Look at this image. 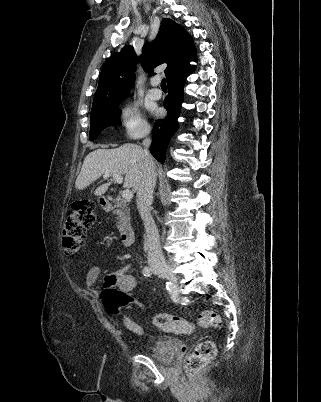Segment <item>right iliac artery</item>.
<instances>
[{"label": "right iliac artery", "mask_w": 321, "mask_h": 402, "mask_svg": "<svg viewBox=\"0 0 321 402\" xmlns=\"http://www.w3.org/2000/svg\"><path fill=\"white\" fill-rule=\"evenodd\" d=\"M143 274H144V276H146V277H150L151 275H152V269L150 268V267H144V269H143ZM167 289L171 292V287L169 286V285H167ZM176 298H174V300H175Z\"/></svg>", "instance_id": "1"}]
</instances>
